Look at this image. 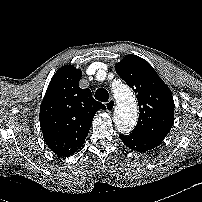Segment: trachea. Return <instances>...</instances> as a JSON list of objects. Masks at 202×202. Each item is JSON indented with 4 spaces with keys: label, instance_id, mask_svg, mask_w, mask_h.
<instances>
[{
    "label": "trachea",
    "instance_id": "1",
    "mask_svg": "<svg viewBox=\"0 0 202 202\" xmlns=\"http://www.w3.org/2000/svg\"><path fill=\"white\" fill-rule=\"evenodd\" d=\"M94 96H95V99L101 102H107L109 99V93L104 88L97 89Z\"/></svg>",
    "mask_w": 202,
    "mask_h": 202
}]
</instances>
